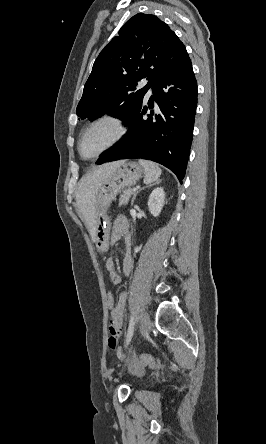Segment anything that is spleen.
I'll list each match as a JSON object with an SVG mask.
<instances>
[{
    "mask_svg": "<svg viewBox=\"0 0 266 444\" xmlns=\"http://www.w3.org/2000/svg\"><path fill=\"white\" fill-rule=\"evenodd\" d=\"M139 164L143 167L145 172L144 182L151 183L157 181L161 175V169L156 163L148 160H139Z\"/></svg>",
    "mask_w": 266,
    "mask_h": 444,
    "instance_id": "1",
    "label": "spleen"
}]
</instances>
